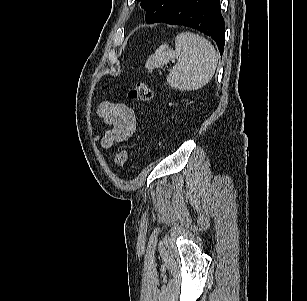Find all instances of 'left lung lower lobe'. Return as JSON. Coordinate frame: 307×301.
Segmentation results:
<instances>
[{"instance_id":"1","label":"left lung lower lobe","mask_w":307,"mask_h":301,"mask_svg":"<svg viewBox=\"0 0 307 301\" xmlns=\"http://www.w3.org/2000/svg\"><path fill=\"white\" fill-rule=\"evenodd\" d=\"M156 22L179 24L197 29L211 38L223 54L225 22L220 11V0H179Z\"/></svg>"}]
</instances>
